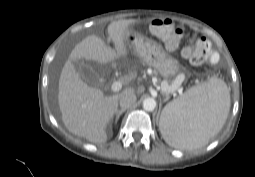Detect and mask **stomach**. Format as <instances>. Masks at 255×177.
<instances>
[{
    "instance_id": "1",
    "label": "stomach",
    "mask_w": 255,
    "mask_h": 177,
    "mask_svg": "<svg viewBox=\"0 0 255 177\" xmlns=\"http://www.w3.org/2000/svg\"><path fill=\"white\" fill-rule=\"evenodd\" d=\"M126 42L145 63L152 66L163 77H174L178 74L180 70L178 61L168 55L156 42L132 29H129Z\"/></svg>"
}]
</instances>
